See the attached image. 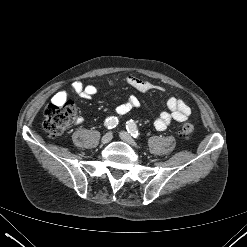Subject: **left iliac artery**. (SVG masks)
I'll list each match as a JSON object with an SVG mask.
<instances>
[{
  "label": "left iliac artery",
  "instance_id": "44dca946",
  "mask_svg": "<svg viewBox=\"0 0 247 247\" xmlns=\"http://www.w3.org/2000/svg\"><path fill=\"white\" fill-rule=\"evenodd\" d=\"M126 129H127L128 133H130L131 136H133L134 138L139 137V131H138L137 126L133 120H129L126 122Z\"/></svg>",
  "mask_w": 247,
  "mask_h": 247
}]
</instances>
